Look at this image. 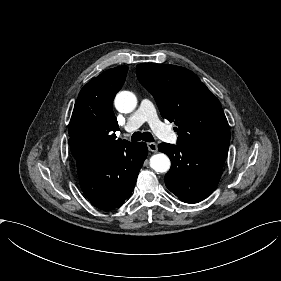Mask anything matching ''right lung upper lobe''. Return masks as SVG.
I'll return each instance as SVG.
<instances>
[{
    "mask_svg": "<svg viewBox=\"0 0 281 281\" xmlns=\"http://www.w3.org/2000/svg\"><path fill=\"white\" fill-rule=\"evenodd\" d=\"M127 71V66L107 70L80 91L68 126L74 159L113 153L130 143L115 139L119 127L112 109L113 98L125 82Z\"/></svg>",
    "mask_w": 281,
    "mask_h": 281,
    "instance_id": "obj_1",
    "label": "right lung upper lobe"
}]
</instances>
